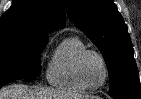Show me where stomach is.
Returning <instances> with one entry per match:
<instances>
[{"label": "stomach", "mask_w": 141, "mask_h": 99, "mask_svg": "<svg viewBox=\"0 0 141 99\" xmlns=\"http://www.w3.org/2000/svg\"><path fill=\"white\" fill-rule=\"evenodd\" d=\"M83 99H97V98L94 96H89L88 98H83Z\"/></svg>", "instance_id": "1"}]
</instances>
